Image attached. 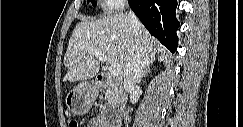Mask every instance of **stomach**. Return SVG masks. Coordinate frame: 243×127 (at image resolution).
Returning a JSON list of instances; mask_svg holds the SVG:
<instances>
[{"label":"stomach","instance_id":"obj_1","mask_svg":"<svg viewBox=\"0 0 243 127\" xmlns=\"http://www.w3.org/2000/svg\"><path fill=\"white\" fill-rule=\"evenodd\" d=\"M97 94V86L93 83L82 82L71 89L66 97L65 104L70 113L83 115L89 111Z\"/></svg>","mask_w":243,"mask_h":127}]
</instances>
